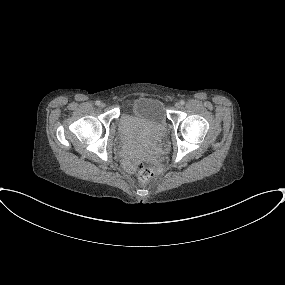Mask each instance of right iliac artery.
<instances>
[{"mask_svg":"<svg viewBox=\"0 0 285 285\" xmlns=\"http://www.w3.org/2000/svg\"><path fill=\"white\" fill-rule=\"evenodd\" d=\"M100 101L99 100H97L96 102H95V104L97 105V106H99L100 105Z\"/></svg>","mask_w":285,"mask_h":285,"instance_id":"obj_1","label":"right iliac artery"}]
</instances>
